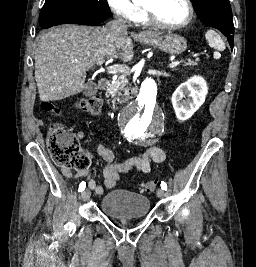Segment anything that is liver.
Here are the masks:
<instances>
[{
	"instance_id": "obj_1",
	"label": "liver",
	"mask_w": 256,
	"mask_h": 267,
	"mask_svg": "<svg viewBox=\"0 0 256 267\" xmlns=\"http://www.w3.org/2000/svg\"><path fill=\"white\" fill-rule=\"evenodd\" d=\"M145 36L157 34L142 32L133 38L143 40ZM104 58L122 60L124 64L133 60L132 40L127 32L74 24L50 28L35 50V80L41 102L64 100L82 92L86 72Z\"/></svg>"
}]
</instances>
